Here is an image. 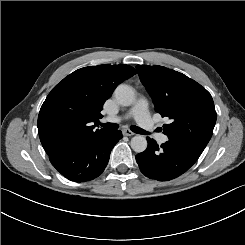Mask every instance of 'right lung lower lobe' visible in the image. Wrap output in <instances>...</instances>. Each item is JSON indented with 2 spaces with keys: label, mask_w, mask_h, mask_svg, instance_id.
<instances>
[{
  "label": "right lung lower lobe",
  "mask_w": 245,
  "mask_h": 245,
  "mask_svg": "<svg viewBox=\"0 0 245 245\" xmlns=\"http://www.w3.org/2000/svg\"><path fill=\"white\" fill-rule=\"evenodd\" d=\"M121 138L120 130H105L59 146L49 154V159L67 179L75 182L90 181L104 171L112 148Z\"/></svg>",
  "instance_id": "1"
}]
</instances>
